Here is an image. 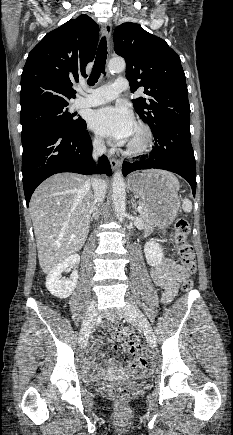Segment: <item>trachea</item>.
<instances>
[{
    "mask_svg": "<svg viewBox=\"0 0 233 435\" xmlns=\"http://www.w3.org/2000/svg\"><path fill=\"white\" fill-rule=\"evenodd\" d=\"M107 59V41L103 37L99 43L94 66L91 75L87 81L88 85L93 86L99 79L101 73H105V64Z\"/></svg>",
    "mask_w": 233,
    "mask_h": 435,
    "instance_id": "obj_1",
    "label": "trachea"
}]
</instances>
